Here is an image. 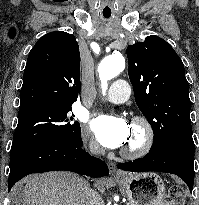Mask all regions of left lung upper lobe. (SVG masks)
I'll use <instances>...</instances> for the list:
<instances>
[{
    "mask_svg": "<svg viewBox=\"0 0 199 205\" xmlns=\"http://www.w3.org/2000/svg\"><path fill=\"white\" fill-rule=\"evenodd\" d=\"M127 57L136 104L153 129L151 150L177 139H192L189 84L172 46L152 35L128 46Z\"/></svg>",
    "mask_w": 199,
    "mask_h": 205,
    "instance_id": "left-lung-upper-lobe-1",
    "label": "left lung upper lobe"
}]
</instances>
